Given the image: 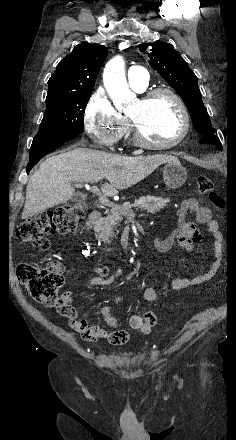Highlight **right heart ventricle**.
Returning <instances> with one entry per match:
<instances>
[{"label":"right heart ventricle","mask_w":236,"mask_h":440,"mask_svg":"<svg viewBox=\"0 0 236 440\" xmlns=\"http://www.w3.org/2000/svg\"><path fill=\"white\" fill-rule=\"evenodd\" d=\"M124 119H125V118H124ZM125 121H126V119H125ZM127 125H128V124H127V121H126V129H127ZM126 129H125V133H126Z\"/></svg>","instance_id":"e07e8e85"}]
</instances>
